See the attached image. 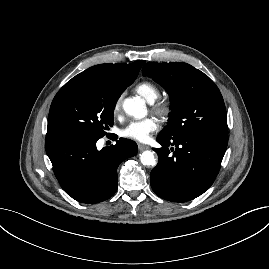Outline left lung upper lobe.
Here are the masks:
<instances>
[{
  "label": "left lung upper lobe",
  "instance_id": "1",
  "mask_svg": "<svg viewBox=\"0 0 269 269\" xmlns=\"http://www.w3.org/2000/svg\"><path fill=\"white\" fill-rule=\"evenodd\" d=\"M142 73L170 96V121L159 138L173 140L193 133L228 135L222 95L203 72L183 62H148Z\"/></svg>",
  "mask_w": 269,
  "mask_h": 269
}]
</instances>
